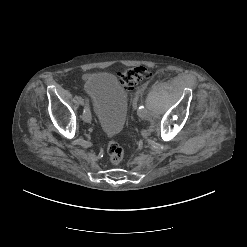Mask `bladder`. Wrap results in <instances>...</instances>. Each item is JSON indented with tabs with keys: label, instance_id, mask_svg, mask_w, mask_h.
I'll list each match as a JSON object with an SVG mask.
<instances>
[{
	"label": "bladder",
	"instance_id": "bladder-1",
	"mask_svg": "<svg viewBox=\"0 0 247 247\" xmlns=\"http://www.w3.org/2000/svg\"><path fill=\"white\" fill-rule=\"evenodd\" d=\"M85 89L90 96L100 129L106 135L119 133L128 114V94L116 76L107 72L89 74Z\"/></svg>",
	"mask_w": 247,
	"mask_h": 247
}]
</instances>
